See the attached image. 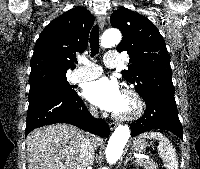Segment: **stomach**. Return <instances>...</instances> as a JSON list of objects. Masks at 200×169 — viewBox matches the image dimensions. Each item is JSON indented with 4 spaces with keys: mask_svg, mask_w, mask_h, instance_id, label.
Listing matches in <instances>:
<instances>
[{
    "mask_svg": "<svg viewBox=\"0 0 200 169\" xmlns=\"http://www.w3.org/2000/svg\"><path fill=\"white\" fill-rule=\"evenodd\" d=\"M146 142L143 138L138 137L133 141L132 148L137 152H143L146 148Z\"/></svg>",
    "mask_w": 200,
    "mask_h": 169,
    "instance_id": "stomach-1",
    "label": "stomach"
}]
</instances>
